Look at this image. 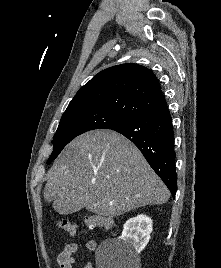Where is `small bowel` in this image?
I'll return each instance as SVG.
<instances>
[{
    "mask_svg": "<svg viewBox=\"0 0 221 268\" xmlns=\"http://www.w3.org/2000/svg\"><path fill=\"white\" fill-rule=\"evenodd\" d=\"M88 250L94 251L97 247L95 240H89L84 245ZM83 247L82 244L72 242L65 245L63 250L58 254L56 261L59 268H73L75 263L74 254ZM83 268H94L91 262H86Z\"/></svg>",
    "mask_w": 221,
    "mask_h": 268,
    "instance_id": "c3829d8e",
    "label": "small bowel"
}]
</instances>
